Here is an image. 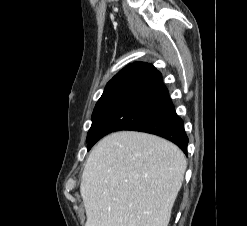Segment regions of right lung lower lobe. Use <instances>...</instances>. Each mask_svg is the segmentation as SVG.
<instances>
[{
	"mask_svg": "<svg viewBox=\"0 0 247 226\" xmlns=\"http://www.w3.org/2000/svg\"><path fill=\"white\" fill-rule=\"evenodd\" d=\"M118 130L155 134L172 141L187 153L188 137L183 120L176 114L161 73L153 65L137 62L120 72L93 129L88 150L100 138Z\"/></svg>",
	"mask_w": 247,
	"mask_h": 226,
	"instance_id": "right-lung-lower-lobe-1",
	"label": "right lung lower lobe"
}]
</instances>
